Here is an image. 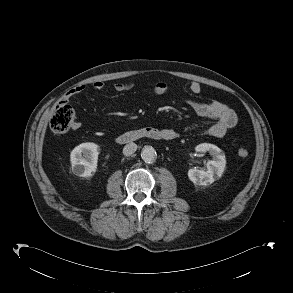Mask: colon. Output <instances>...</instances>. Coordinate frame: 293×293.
Instances as JSON below:
<instances>
[{
	"label": "colon",
	"instance_id": "obj_1",
	"mask_svg": "<svg viewBox=\"0 0 293 293\" xmlns=\"http://www.w3.org/2000/svg\"><path fill=\"white\" fill-rule=\"evenodd\" d=\"M75 113L73 108L67 104V102H59L52 113L50 119V128L56 134L66 133L71 125L74 123ZM238 155L240 157H247L249 155V150L247 147H241L238 150Z\"/></svg>",
	"mask_w": 293,
	"mask_h": 293
}]
</instances>
